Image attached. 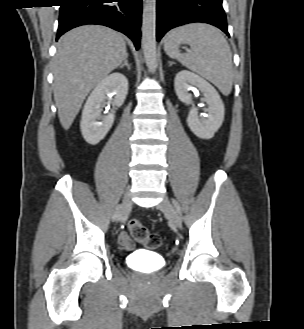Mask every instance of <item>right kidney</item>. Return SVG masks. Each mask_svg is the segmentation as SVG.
Returning <instances> with one entry per match:
<instances>
[{"label": "right kidney", "instance_id": "right-kidney-1", "mask_svg": "<svg viewBox=\"0 0 304 329\" xmlns=\"http://www.w3.org/2000/svg\"><path fill=\"white\" fill-rule=\"evenodd\" d=\"M128 93V80L118 72L105 77L88 97L80 122L82 135L87 143L98 144L108 133L114 122V110L102 117L101 111L106 104L107 96L114 95L113 107H120Z\"/></svg>", "mask_w": 304, "mask_h": 329}]
</instances>
